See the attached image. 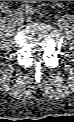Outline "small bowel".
Segmentation results:
<instances>
[{"instance_id": "obj_1", "label": "small bowel", "mask_w": 74, "mask_h": 122, "mask_svg": "<svg viewBox=\"0 0 74 122\" xmlns=\"http://www.w3.org/2000/svg\"><path fill=\"white\" fill-rule=\"evenodd\" d=\"M24 2H35V1H24Z\"/></svg>"}]
</instances>
